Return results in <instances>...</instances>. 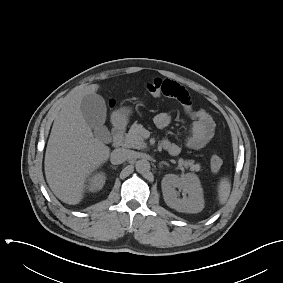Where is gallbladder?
<instances>
[{"label": "gallbladder", "mask_w": 283, "mask_h": 283, "mask_svg": "<svg viewBox=\"0 0 283 283\" xmlns=\"http://www.w3.org/2000/svg\"><path fill=\"white\" fill-rule=\"evenodd\" d=\"M80 108L85 121L93 129L94 135L103 142H109L110 133L104 125L107 108L103 97L98 94L85 95Z\"/></svg>", "instance_id": "obj_1"}]
</instances>
